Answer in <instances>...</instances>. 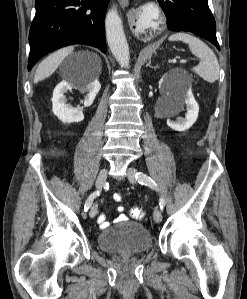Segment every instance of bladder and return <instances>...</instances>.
Instances as JSON below:
<instances>
[{
    "label": "bladder",
    "mask_w": 247,
    "mask_h": 299,
    "mask_svg": "<svg viewBox=\"0 0 247 299\" xmlns=\"http://www.w3.org/2000/svg\"><path fill=\"white\" fill-rule=\"evenodd\" d=\"M99 247L108 253L138 254L152 246V235L141 223L124 221L102 230L97 237Z\"/></svg>",
    "instance_id": "obj_1"
}]
</instances>
